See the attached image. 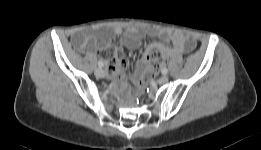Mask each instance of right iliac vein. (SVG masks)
Listing matches in <instances>:
<instances>
[{
	"instance_id": "obj_1",
	"label": "right iliac vein",
	"mask_w": 261,
	"mask_h": 150,
	"mask_svg": "<svg viewBox=\"0 0 261 150\" xmlns=\"http://www.w3.org/2000/svg\"><path fill=\"white\" fill-rule=\"evenodd\" d=\"M95 75L98 78H103L105 76V72L102 69L98 68L95 70Z\"/></svg>"
}]
</instances>
